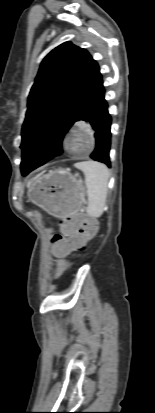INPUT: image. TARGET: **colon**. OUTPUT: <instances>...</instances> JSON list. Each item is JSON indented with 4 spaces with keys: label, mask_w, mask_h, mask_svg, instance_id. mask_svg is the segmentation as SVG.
Returning <instances> with one entry per match:
<instances>
[{
    "label": "colon",
    "mask_w": 155,
    "mask_h": 413,
    "mask_svg": "<svg viewBox=\"0 0 155 413\" xmlns=\"http://www.w3.org/2000/svg\"><path fill=\"white\" fill-rule=\"evenodd\" d=\"M61 223L68 236L56 234L52 238L55 253L60 258H70L72 252H81L97 231V222L92 217L69 215Z\"/></svg>",
    "instance_id": "colon-1"
}]
</instances>
